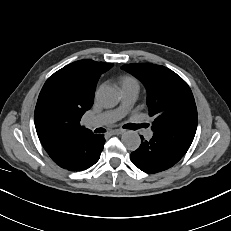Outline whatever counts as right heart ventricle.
I'll list each match as a JSON object with an SVG mask.
<instances>
[{
    "label": "right heart ventricle",
    "instance_id": "e07e8e85",
    "mask_svg": "<svg viewBox=\"0 0 231 231\" xmlns=\"http://www.w3.org/2000/svg\"><path fill=\"white\" fill-rule=\"evenodd\" d=\"M121 90H137L139 91L140 83L138 79L131 75L123 76L120 80Z\"/></svg>",
    "mask_w": 231,
    "mask_h": 231
}]
</instances>
